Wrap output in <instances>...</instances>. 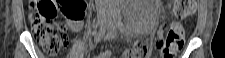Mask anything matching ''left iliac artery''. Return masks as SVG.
<instances>
[{"instance_id":"obj_1","label":"left iliac artery","mask_w":225,"mask_h":58,"mask_svg":"<svg viewBox=\"0 0 225 58\" xmlns=\"http://www.w3.org/2000/svg\"><path fill=\"white\" fill-rule=\"evenodd\" d=\"M115 19V23H116V26L118 27V29L121 31V32H125V28H124V25L123 23L121 22V19L119 17H116L114 18Z\"/></svg>"}]
</instances>
